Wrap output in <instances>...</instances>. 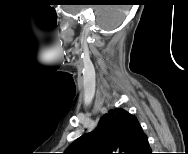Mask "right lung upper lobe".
Returning <instances> with one entry per match:
<instances>
[{"instance_id": "right-lung-upper-lobe-1", "label": "right lung upper lobe", "mask_w": 188, "mask_h": 154, "mask_svg": "<svg viewBox=\"0 0 188 154\" xmlns=\"http://www.w3.org/2000/svg\"><path fill=\"white\" fill-rule=\"evenodd\" d=\"M148 138L137 118L122 108L104 114L95 131L76 139L65 154H145Z\"/></svg>"}]
</instances>
